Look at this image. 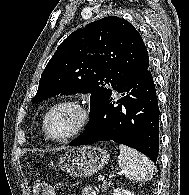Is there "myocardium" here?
I'll list each match as a JSON object with an SVG mask.
<instances>
[{
	"label": "myocardium",
	"mask_w": 189,
	"mask_h": 195,
	"mask_svg": "<svg viewBox=\"0 0 189 195\" xmlns=\"http://www.w3.org/2000/svg\"><path fill=\"white\" fill-rule=\"evenodd\" d=\"M65 105L74 106L75 108L79 110L81 114L80 122L77 125V127L68 135L63 136V137H54L50 134L49 129H48L49 117L56 109H58L59 107L65 106ZM90 120H91V112L85 103L81 102L78 99H64L54 104L45 114L44 119H43V131H44L45 136L53 142H66L78 136L80 133H82L88 126Z\"/></svg>",
	"instance_id": "obj_1"
}]
</instances>
